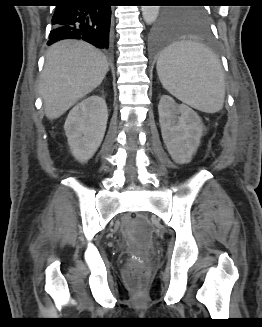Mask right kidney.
Segmentation results:
<instances>
[{"mask_svg": "<svg viewBox=\"0 0 262 327\" xmlns=\"http://www.w3.org/2000/svg\"><path fill=\"white\" fill-rule=\"evenodd\" d=\"M108 119L105 100L93 95L69 112L64 130L73 156L80 162L89 160L100 146Z\"/></svg>", "mask_w": 262, "mask_h": 327, "instance_id": "obj_1", "label": "right kidney"}]
</instances>
